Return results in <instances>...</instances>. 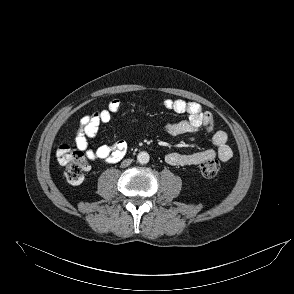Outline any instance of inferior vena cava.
<instances>
[{
	"label": "inferior vena cava",
	"instance_id": "obj_1",
	"mask_svg": "<svg viewBox=\"0 0 294 294\" xmlns=\"http://www.w3.org/2000/svg\"><path fill=\"white\" fill-rule=\"evenodd\" d=\"M131 162H132V159H126V160H124L122 163H121V167H127V166H129L130 164H131Z\"/></svg>",
	"mask_w": 294,
	"mask_h": 294
}]
</instances>
